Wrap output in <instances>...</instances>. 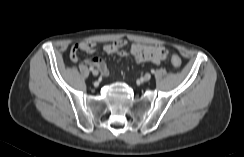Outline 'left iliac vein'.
I'll use <instances>...</instances> for the list:
<instances>
[{
    "instance_id": "1",
    "label": "left iliac vein",
    "mask_w": 244,
    "mask_h": 157,
    "mask_svg": "<svg viewBox=\"0 0 244 157\" xmlns=\"http://www.w3.org/2000/svg\"><path fill=\"white\" fill-rule=\"evenodd\" d=\"M144 81H149L151 79V75L149 73H146L143 77Z\"/></svg>"
}]
</instances>
